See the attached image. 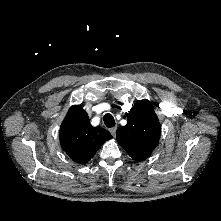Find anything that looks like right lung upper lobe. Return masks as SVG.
<instances>
[{
	"mask_svg": "<svg viewBox=\"0 0 221 221\" xmlns=\"http://www.w3.org/2000/svg\"><path fill=\"white\" fill-rule=\"evenodd\" d=\"M60 143L69 157L80 164L87 163L112 135L101 127H93L86 111L73 105L60 128Z\"/></svg>",
	"mask_w": 221,
	"mask_h": 221,
	"instance_id": "right-lung-upper-lobe-1",
	"label": "right lung upper lobe"
}]
</instances>
